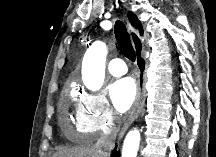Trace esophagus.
Masks as SVG:
<instances>
[{
    "label": "esophagus",
    "mask_w": 216,
    "mask_h": 157,
    "mask_svg": "<svg viewBox=\"0 0 216 157\" xmlns=\"http://www.w3.org/2000/svg\"><path fill=\"white\" fill-rule=\"evenodd\" d=\"M129 32L131 34V39H132V42H133V45H134V48H135V51H136V64H137V67L139 69V74H142L143 78H144L145 72H146V66L141 61V58L143 59V56H142L143 49L141 47V51H139L136 48V46H137L136 45V37L139 39V36H138L137 32L135 31V29H133L131 26H129ZM144 101H145V91H144L143 85L139 81L138 82V87H137L136 98H135L134 104H133V106L131 108L130 115L127 118L126 122L124 123V125L121 128V131L119 133L120 138L123 137V135L125 134V132L129 128V126L138 117V115H139V113H140V111H141V109H142V107L144 105Z\"/></svg>",
    "instance_id": "obj_1"
}]
</instances>
